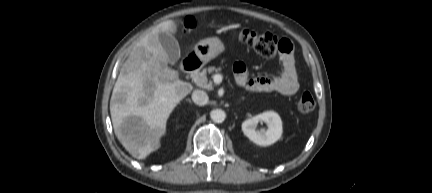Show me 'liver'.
I'll list each match as a JSON object with an SVG mask.
<instances>
[{
  "label": "liver",
  "mask_w": 432,
  "mask_h": 193,
  "mask_svg": "<svg viewBox=\"0 0 432 193\" xmlns=\"http://www.w3.org/2000/svg\"><path fill=\"white\" fill-rule=\"evenodd\" d=\"M176 31L177 21L167 20L143 37L113 88L110 114L114 132L137 159H145L160 147L170 114L192 90L191 84L179 80L178 72L168 67V55L158 39L159 32L171 35ZM129 118L138 119V124L126 135L121 125Z\"/></svg>",
  "instance_id": "1"
}]
</instances>
